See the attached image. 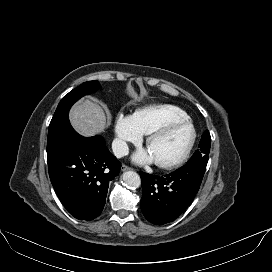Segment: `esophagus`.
<instances>
[{"instance_id":"34e87169","label":"esophagus","mask_w":272,"mask_h":272,"mask_svg":"<svg viewBox=\"0 0 272 272\" xmlns=\"http://www.w3.org/2000/svg\"><path fill=\"white\" fill-rule=\"evenodd\" d=\"M128 170H132V168L127 165H122L121 171H128Z\"/></svg>"}]
</instances>
